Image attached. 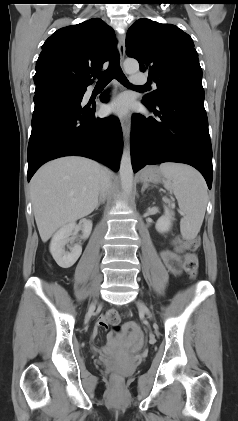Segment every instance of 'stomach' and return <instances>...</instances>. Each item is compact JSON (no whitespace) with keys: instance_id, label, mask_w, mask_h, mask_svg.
Listing matches in <instances>:
<instances>
[{"instance_id":"stomach-1","label":"stomach","mask_w":238,"mask_h":421,"mask_svg":"<svg viewBox=\"0 0 238 421\" xmlns=\"http://www.w3.org/2000/svg\"><path fill=\"white\" fill-rule=\"evenodd\" d=\"M140 180L159 183L162 180V174L157 166H148L140 173Z\"/></svg>"}]
</instances>
